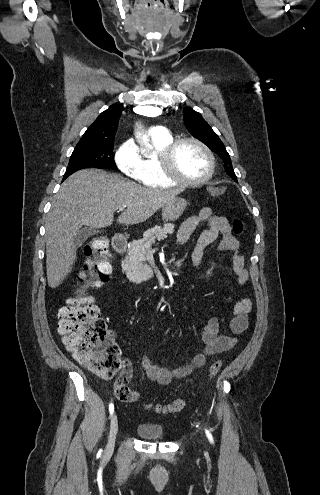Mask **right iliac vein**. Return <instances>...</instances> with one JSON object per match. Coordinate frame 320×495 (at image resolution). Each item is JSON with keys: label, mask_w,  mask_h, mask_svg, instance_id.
<instances>
[{"label": "right iliac vein", "mask_w": 320, "mask_h": 495, "mask_svg": "<svg viewBox=\"0 0 320 495\" xmlns=\"http://www.w3.org/2000/svg\"><path fill=\"white\" fill-rule=\"evenodd\" d=\"M117 432H118V420H117V415L114 414L111 419L109 440L105 449L106 454H110L113 452Z\"/></svg>", "instance_id": "63e3f726"}]
</instances>
